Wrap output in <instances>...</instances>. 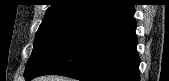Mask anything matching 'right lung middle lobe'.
Instances as JSON below:
<instances>
[{"label": "right lung middle lobe", "mask_w": 169, "mask_h": 81, "mask_svg": "<svg viewBox=\"0 0 169 81\" xmlns=\"http://www.w3.org/2000/svg\"><path fill=\"white\" fill-rule=\"evenodd\" d=\"M87 20L74 16L44 19L34 41L24 75L33 73Z\"/></svg>", "instance_id": "1"}]
</instances>
